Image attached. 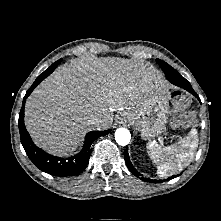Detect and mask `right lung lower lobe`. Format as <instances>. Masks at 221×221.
Returning a JSON list of instances; mask_svg holds the SVG:
<instances>
[{
    "label": "right lung lower lobe",
    "instance_id": "right-lung-lower-lobe-1",
    "mask_svg": "<svg viewBox=\"0 0 221 221\" xmlns=\"http://www.w3.org/2000/svg\"><path fill=\"white\" fill-rule=\"evenodd\" d=\"M56 68V67H55ZM47 69L42 74H40L32 86L26 92L23 99V104L21 111L19 113V132L21 143L25 149L26 154L33 162V164L40 170L55 176H74L81 173L87 166L92 143L99 138L110 132V130L105 131H91L85 137V142L81 152L75 156L69 158H60L57 156L50 155L38 148L32 141L30 135L28 134L24 125V107L26 98L31 94L35 87L48 75H50L54 69Z\"/></svg>",
    "mask_w": 221,
    "mask_h": 221
}]
</instances>
